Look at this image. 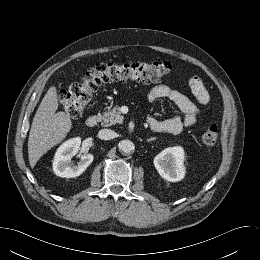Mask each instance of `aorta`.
<instances>
[{
    "instance_id": "obj_1",
    "label": "aorta",
    "mask_w": 260,
    "mask_h": 260,
    "mask_svg": "<svg viewBox=\"0 0 260 260\" xmlns=\"http://www.w3.org/2000/svg\"><path fill=\"white\" fill-rule=\"evenodd\" d=\"M119 151L125 154H131L134 149L135 145L131 140H122L118 144Z\"/></svg>"
}]
</instances>
